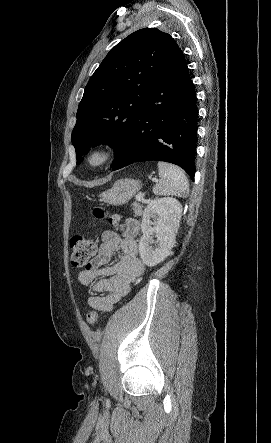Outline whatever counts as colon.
I'll return each mask as SVG.
<instances>
[{"instance_id": "1", "label": "colon", "mask_w": 271, "mask_h": 443, "mask_svg": "<svg viewBox=\"0 0 271 443\" xmlns=\"http://www.w3.org/2000/svg\"><path fill=\"white\" fill-rule=\"evenodd\" d=\"M92 214L97 219H105L106 213L101 208H94ZM109 222L117 224L120 220L118 215H112L109 217ZM71 263L75 267L85 266L89 260L96 253V244L93 240L88 239L84 235L77 234L71 238ZM98 314L95 310L91 309L87 313V321L89 324L94 325L97 323Z\"/></svg>"}]
</instances>
